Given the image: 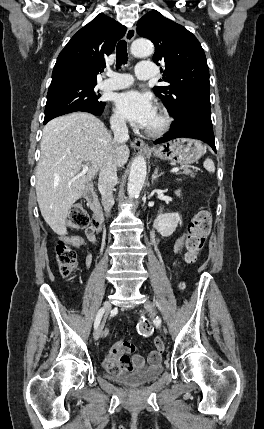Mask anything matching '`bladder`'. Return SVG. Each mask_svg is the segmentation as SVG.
<instances>
[{
  "instance_id": "31cf9c89",
  "label": "bladder",
  "mask_w": 264,
  "mask_h": 429,
  "mask_svg": "<svg viewBox=\"0 0 264 429\" xmlns=\"http://www.w3.org/2000/svg\"><path fill=\"white\" fill-rule=\"evenodd\" d=\"M164 371L161 360L155 365L147 366L138 371L128 373H105V377L121 385L137 388L157 380Z\"/></svg>"
}]
</instances>
